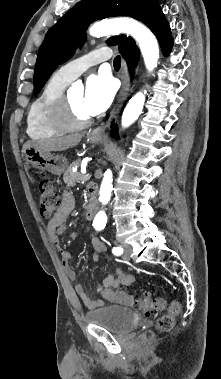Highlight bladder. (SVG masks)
<instances>
[{"mask_svg":"<svg viewBox=\"0 0 221 379\" xmlns=\"http://www.w3.org/2000/svg\"><path fill=\"white\" fill-rule=\"evenodd\" d=\"M85 321L124 335L138 324V316L130 309L117 305H107L90 310L85 314Z\"/></svg>","mask_w":221,"mask_h":379,"instance_id":"bladder-1","label":"bladder"}]
</instances>
